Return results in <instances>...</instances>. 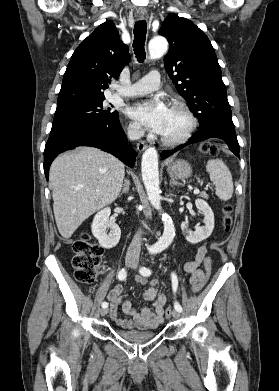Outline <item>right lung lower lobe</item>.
Masks as SVG:
<instances>
[{"label": "right lung lower lobe", "instance_id": "right-lung-lower-lobe-1", "mask_svg": "<svg viewBox=\"0 0 279 391\" xmlns=\"http://www.w3.org/2000/svg\"><path fill=\"white\" fill-rule=\"evenodd\" d=\"M81 145L109 152L130 167H133L137 155L128 146L118 115L101 122L52 127L44 151L46 178L48 179L50 165L58 154Z\"/></svg>", "mask_w": 279, "mask_h": 391}]
</instances>
